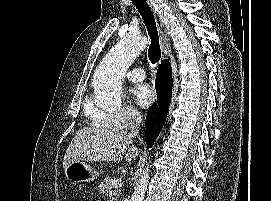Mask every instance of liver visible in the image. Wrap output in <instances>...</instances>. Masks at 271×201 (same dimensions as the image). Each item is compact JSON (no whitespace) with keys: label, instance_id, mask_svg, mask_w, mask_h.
Listing matches in <instances>:
<instances>
[{"label":"liver","instance_id":"1","mask_svg":"<svg viewBox=\"0 0 271 201\" xmlns=\"http://www.w3.org/2000/svg\"><path fill=\"white\" fill-rule=\"evenodd\" d=\"M132 137L124 130L100 127L79 129L66 150L63 168L77 161L117 162L125 155L127 162L135 160L139 154L136 146H131Z\"/></svg>","mask_w":271,"mask_h":201}]
</instances>
